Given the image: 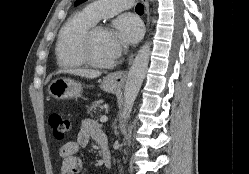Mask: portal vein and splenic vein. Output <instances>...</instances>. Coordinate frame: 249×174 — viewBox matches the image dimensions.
Segmentation results:
<instances>
[{
	"label": "portal vein and splenic vein",
	"mask_w": 249,
	"mask_h": 174,
	"mask_svg": "<svg viewBox=\"0 0 249 174\" xmlns=\"http://www.w3.org/2000/svg\"><path fill=\"white\" fill-rule=\"evenodd\" d=\"M107 120H108V118H107V116H105V115H102V116L100 117V121H101L102 123L107 122Z\"/></svg>",
	"instance_id": "1"
}]
</instances>
